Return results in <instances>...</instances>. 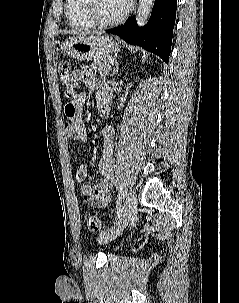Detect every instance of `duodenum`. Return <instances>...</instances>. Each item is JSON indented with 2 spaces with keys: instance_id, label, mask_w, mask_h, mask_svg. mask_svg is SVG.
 Instances as JSON below:
<instances>
[{
  "instance_id": "duodenum-1",
  "label": "duodenum",
  "mask_w": 239,
  "mask_h": 303,
  "mask_svg": "<svg viewBox=\"0 0 239 303\" xmlns=\"http://www.w3.org/2000/svg\"><path fill=\"white\" fill-rule=\"evenodd\" d=\"M100 113L103 117H108L110 110L107 107H102V108H100Z\"/></svg>"
}]
</instances>
